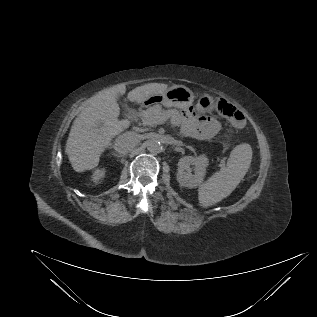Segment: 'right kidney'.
Instances as JSON below:
<instances>
[{
    "label": "right kidney",
    "instance_id": "right-kidney-1",
    "mask_svg": "<svg viewBox=\"0 0 317 317\" xmlns=\"http://www.w3.org/2000/svg\"><path fill=\"white\" fill-rule=\"evenodd\" d=\"M105 169L102 168V169H96L94 172H93V175H92V180L96 183H98L102 178H104L105 176Z\"/></svg>",
    "mask_w": 317,
    "mask_h": 317
}]
</instances>
